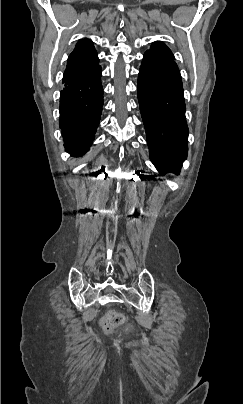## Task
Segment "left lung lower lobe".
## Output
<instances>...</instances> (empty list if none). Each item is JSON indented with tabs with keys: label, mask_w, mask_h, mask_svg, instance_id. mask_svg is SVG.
Instances as JSON below:
<instances>
[{
	"label": "left lung lower lobe",
	"mask_w": 243,
	"mask_h": 404,
	"mask_svg": "<svg viewBox=\"0 0 243 404\" xmlns=\"http://www.w3.org/2000/svg\"><path fill=\"white\" fill-rule=\"evenodd\" d=\"M137 90L150 159L159 173L179 174L188 153V126L175 61L145 52Z\"/></svg>",
	"instance_id": "0a47b994"
}]
</instances>
